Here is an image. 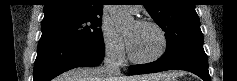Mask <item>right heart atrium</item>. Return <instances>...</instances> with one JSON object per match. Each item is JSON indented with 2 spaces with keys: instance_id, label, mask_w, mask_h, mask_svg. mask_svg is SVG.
I'll list each match as a JSON object with an SVG mask.
<instances>
[{
  "instance_id": "right-heart-atrium-1",
  "label": "right heart atrium",
  "mask_w": 237,
  "mask_h": 81,
  "mask_svg": "<svg viewBox=\"0 0 237 81\" xmlns=\"http://www.w3.org/2000/svg\"><path fill=\"white\" fill-rule=\"evenodd\" d=\"M102 35L106 55L113 59L121 60L125 55L124 41L122 37L115 31L111 23H103Z\"/></svg>"
}]
</instances>
